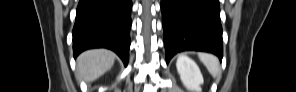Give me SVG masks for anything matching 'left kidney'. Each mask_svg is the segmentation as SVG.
<instances>
[{
	"label": "left kidney",
	"mask_w": 296,
	"mask_h": 92,
	"mask_svg": "<svg viewBox=\"0 0 296 92\" xmlns=\"http://www.w3.org/2000/svg\"><path fill=\"white\" fill-rule=\"evenodd\" d=\"M178 74L183 85L191 91L201 92L203 76L197 64L187 56L181 55L176 61Z\"/></svg>",
	"instance_id": "left-kidney-1"
}]
</instances>
